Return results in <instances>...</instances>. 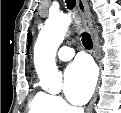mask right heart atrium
Masks as SVG:
<instances>
[{
    "mask_svg": "<svg viewBox=\"0 0 121 113\" xmlns=\"http://www.w3.org/2000/svg\"><path fill=\"white\" fill-rule=\"evenodd\" d=\"M54 101H55L57 108L62 107V102L58 98H54Z\"/></svg>",
    "mask_w": 121,
    "mask_h": 113,
    "instance_id": "obj_1",
    "label": "right heart atrium"
}]
</instances>
